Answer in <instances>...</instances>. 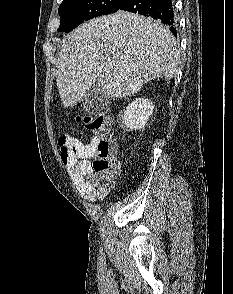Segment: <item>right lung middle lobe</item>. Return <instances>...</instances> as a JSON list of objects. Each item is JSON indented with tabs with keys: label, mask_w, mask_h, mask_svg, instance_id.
<instances>
[{
	"label": "right lung middle lobe",
	"mask_w": 233,
	"mask_h": 294,
	"mask_svg": "<svg viewBox=\"0 0 233 294\" xmlns=\"http://www.w3.org/2000/svg\"><path fill=\"white\" fill-rule=\"evenodd\" d=\"M125 0H63L59 6V32L69 33L75 27L94 17L119 10Z\"/></svg>",
	"instance_id": "obj_1"
}]
</instances>
